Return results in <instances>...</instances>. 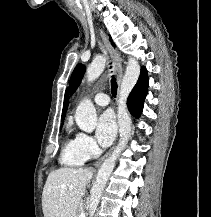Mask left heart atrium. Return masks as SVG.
I'll list each match as a JSON object with an SVG mask.
<instances>
[{"label":"left heart atrium","instance_id":"1","mask_svg":"<svg viewBox=\"0 0 211 217\" xmlns=\"http://www.w3.org/2000/svg\"><path fill=\"white\" fill-rule=\"evenodd\" d=\"M116 121L112 112H104L98 119L96 127V138L98 142L106 147L109 146L116 135Z\"/></svg>","mask_w":211,"mask_h":217}]
</instances>
